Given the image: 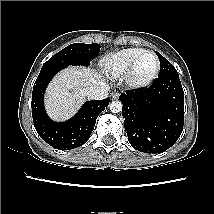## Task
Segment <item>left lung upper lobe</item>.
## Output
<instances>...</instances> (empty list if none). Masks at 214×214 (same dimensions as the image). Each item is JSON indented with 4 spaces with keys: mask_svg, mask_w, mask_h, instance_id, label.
I'll use <instances>...</instances> for the list:
<instances>
[{
    "mask_svg": "<svg viewBox=\"0 0 214 214\" xmlns=\"http://www.w3.org/2000/svg\"><path fill=\"white\" fill-rule=\"evenodd\" d=\"M159 60H160V73L159 76H165V75H178V72L174 68V66L165 59L160 53L156 52Z\"/></svg>",
    "mask_w": 214,
    "mask_h": 214,
    "instance_id": "left-lung-upper-lobe-1",
    "label": "left lung upper lobe"
}]
</instances>
